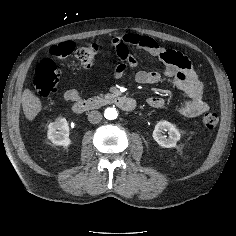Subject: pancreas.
Wrapping results in <instances>:
<instances>
[{"instance_id": "obj_1", "label": "pancreas", "mask_w": 236, "mask_h": 236, "mask_svg": "<svg viewBox=\"0 0 236 236\" xmlns=\"http://www.w3.org/2000/svg\"><path fill=\"white\" fill-rule=\"evenodd\" d=\"M112 97H113V94L107 93L106 95L100 94V95L98 96V99H99V100H103V99L109 100V99L112 98Z\"/></svg>"}]
</instances>
